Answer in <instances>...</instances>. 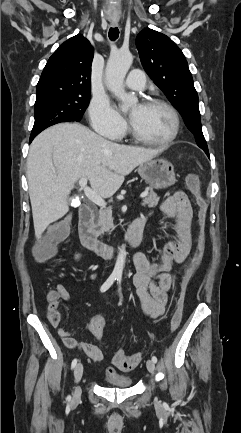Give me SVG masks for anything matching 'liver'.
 Returning <instances> with one entry per match:
<instances>
[{"label": "liver", "instance_id": "liver-1", "mask_svg": "<svg viewBox=\"0 0 241 433\" xmlns=\"http://www.w3.org/2000/svg\"><path fill=\"white\" fill-rule=\"evenodd\" d=\"M162 150L120 145L79 123H60L31 143L27 178L37 239L68 211L74 184L87 178L99 196H113L133 169Z\"/></svg>", "mask_w": 241, "mask_h": 433}]
</instances>
